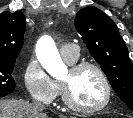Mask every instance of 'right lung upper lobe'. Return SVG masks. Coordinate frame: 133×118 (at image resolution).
I'll list each match as a JSON object with an SVG mask.
<instances>
[{
	"instance_id": "right-lung-upper-lobe-1",
	"label": "right lung upper lobe",
	"mask_w": 133,
	"mask_h": 118,
	"mask_svg": "<svg viewBox=\"0 0 133 118\" xmlns=\"http://www.w3.org/2000/svg\"><path fill=\"white\" fill-rule=\"evenodd\" d=\"M25 23L21 11L0 14V58L16 59L23 45Z\"/></svg>"
}]
</instances>
